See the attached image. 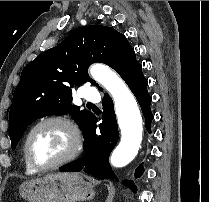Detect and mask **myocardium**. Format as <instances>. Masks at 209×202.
<instances>
[{
  "instance_id": "obj_1",
  "label": "myocardium",
  "mask_w": 209,
  "mask_h": 202,
  "mask_svg": "<svg viewBox=\"0 0 209 202\" xmlns=\"http://www.w3.org/2000/svg\"><path fill=\"white\" fill-rule=\"evenodd\" d=\"M49 123H55L62 126L68 133L71 144L68 151L63 156H61L57 161L48 165H39L31 157L29 143L33 133L41 126ZM82 148H83V137L77 124L69 117H66L64 115H57V114L43 117L39 119L37 122H35L28 130L23 141L24 157L27 163L29 164V166L37 172L54 170L73 161L80 154Z\"/></svg>"
}]
</instances>
